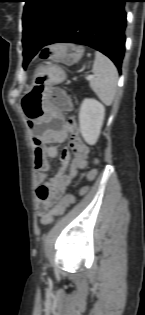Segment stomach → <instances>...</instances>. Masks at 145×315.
Segmentation results:
<instances>
[{
  "mask_svg": "<svg viewBox=\"0 0 145 315\" xmlns=\"http://www.w3.org/2000/svg\"><path fill=\"white\" fill-rule=\"evenodd\" d=\"M66 79L65 71L58 66H51L41 72H36L34 84L25 91L21 98V110L25 112L29 122H42V117L49 116L51 111L45 102L47 91H52L54 84Z\"/></svg>",
  "mask_w": 145,
  "mask_h": 315,
  "instance_id": "0dacf381",
  "label": "stomach"
}]
</instances>
